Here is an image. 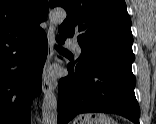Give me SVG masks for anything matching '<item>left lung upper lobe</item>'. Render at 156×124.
<instances>
[{
	"label": "left lung upper lobe",
	"instance_id": "left-lung-upper-lobe-1",
	"mask_svg": "<svg viewBox=\"0 0 156 124\" xmlns=\"http://www.w3.org/2000/svg\"><path fill=\"white\" fill-rule=\"evenodd\" d=\"M49 5L67 12L59 35L77 36L82 53L74 66L111 61L132 71L131 19L124 0H49Z\"/></svg>",
	"mask_w": 156,
	"mask_h": 124
}]
</instances>
